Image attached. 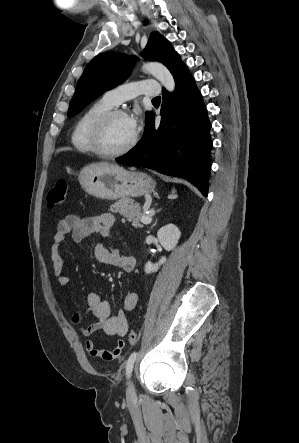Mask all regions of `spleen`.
Here are the masks:
<instances>
[{
  "label": "spleen",
  "instance_id": "obj_1",
  "mask_svg": "<svg viewBox=\"0 0 299 443\" xmlns=\"http://www.w3.org/2000/svg\"><path fill=\"white\" fill-rule=\"evenodd\" d=\"M172 193H173V194H172V197H173V198H176L177 196L175 195V190H173Z\"/></svg>",
  "mask_w": 299,
  "mask_h": 443
}]
</instances>
